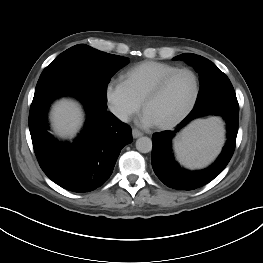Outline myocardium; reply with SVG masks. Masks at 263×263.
<instances>
[{"mask_svg":"<svg viewBox=\"0 0 263 263\" xmlns=\"http://www.w3.org/2000/svg\"><path fill=\"white\" fill-rule=\"evenodd\" d=\"M189 73L192 75L193 79H194V84H195V88H194V94L193 97L190 101V103L188 104V106L174 119H172L171 121L165 122V123H161V124H156L157 128L162 129V130H166V129H171L173 127H175L176 125H178L181 121H183L190 113L191 111L194 109L199 95H200V90H201V86H200V79L198 74L187 67L184 68H178L172 72H170L169 74L165 75L163 78H161L158 83L148 92V94L145 96V98L143 99L142 102V107L145 110L147 105L154 100L155 98H157L165 89V87L167 86V84L178 74L180 73Z\"/></svg>","mask_w":263,"mask_h":263,"instance_id":"obj_1","label":"myocardium"}]
</instances>
